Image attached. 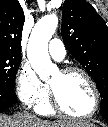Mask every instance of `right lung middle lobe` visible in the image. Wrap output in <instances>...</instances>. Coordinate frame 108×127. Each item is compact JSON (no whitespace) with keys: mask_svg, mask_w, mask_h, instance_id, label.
<instances>
[{"mask_svg":"<svg viewBox=\"0 0 108 127\" xmlns=\"http://www.w3.org/2000/svg\"><path fill=\"white\" fill-rule=\"evenodd\" d=\"M20 63H21V55L0 52L1 86L14 90L15 77Z\"/></svg>","mask_w":108,"mask_h":127,"instance_id":"1","label":"right lung middle lobe"}]
</instances>
